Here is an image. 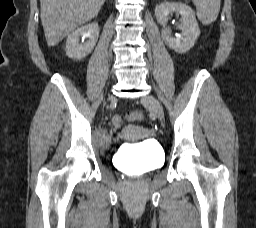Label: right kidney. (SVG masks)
<instances>
[{
    "label": "right kidney",
    "instance_id": "1",
    "mask_svg": "<svg viewBox=\"0 0 256 228\" xmlns=\"http://www.w3.org/2000/svg\"><path fill=\"white\" fill-rule=\"evenodd\" d=\"M82 37V43H79ZM99 37V26L90 23L72 32L66 40V55L72 59H82L94 49ZM84 39H87L84 41Z\"/></svg>",
    "mask_w": 256,
    "mask_h": 228
}]
</instances>
